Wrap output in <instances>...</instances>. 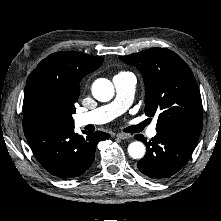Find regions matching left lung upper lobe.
Returning a JSON list of instances; mask_svg holds the SVG:
<instances>
[{"instance_id": "5c2ea615", "label": "left lung upper lobe", "mask_w": 221, "mask_h": 221, "mask_svg": "<svg viewBox=\"0 0 221 221\" xmlns=\"http://www.w3.org/2000/svg\"><path fill=\"white\" fill-rule=\"evenodd\" d=\"M119 58L143 74L145 113L158 116L157 131L179 128L201 133L199 88L191 69L176 53L152 48Z\"/></svg>"}]
</instances>
